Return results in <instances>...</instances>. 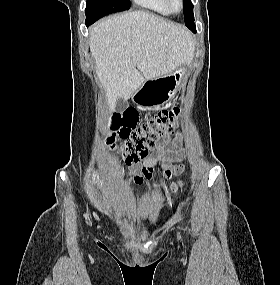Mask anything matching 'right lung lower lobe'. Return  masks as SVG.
Masks as SVG:
<instances>
[{"mask_svg": "<svg viewBox=\"0 0 280 285\" xmlns=\"http://www.w3.org/2000/svg\"><path fill=\"white\" fill-rule=\"evenodd\" d=\"M85 23H86V26H89V25H91L90 23H88V22H86V21H85Z\"/></svg>", "mask_w": 280, "mask_h": 285, "instance_id": "obj_1", "label": "right lung lower lobe"}]
</instances>
